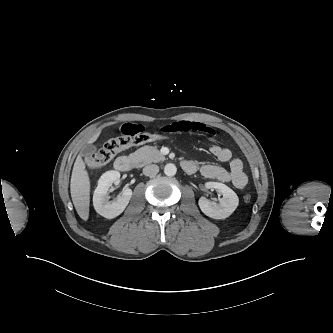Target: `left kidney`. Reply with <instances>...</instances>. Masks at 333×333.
Listing matches in <instances>:
<instances>
[{"label": "left kidney", "instance_id": "5707ae66", "mask_svg": "<svg viewBox=\"0 0 333 333\" xmlns=\"http://www.w3.org/2000/svg\"><path fill=\"white\" fill-rule=\"evenodd\" d=\"M206 187L217 189L222 193L223 197L220 199L219 204L201 197L198 201L201 211L213 219H225L229 217L239 204L237 194L231 188L219 182H208L206 183Z\"/></svg>", "mask_w": 333, "mask_h": 333}]
</instances>
